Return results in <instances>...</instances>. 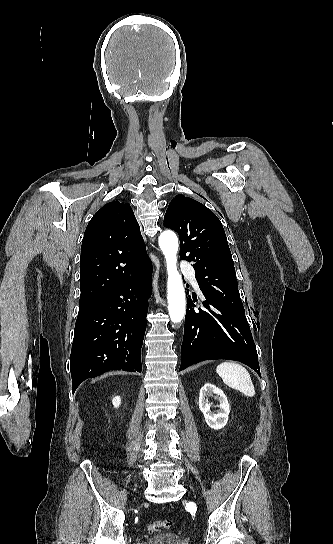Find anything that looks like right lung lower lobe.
<instances>
[{
	"label": "right lung lower lobe",
	"instance_id": "98d812e1",
	"mask_svg": "<svg viewBox=\"0 0 333 544\" xmlns=\"http://www.w3.org/2000/svg\"><path fill=\"white\" fill-rule=\"evenodd\" d=\"M152 264L91 307L79 310L70 371L72 391L110 370L141 372V347L151 296Z\"/></svg>",
	"mask_w": 333,
	"mask_h": 544
}]
</instances>
